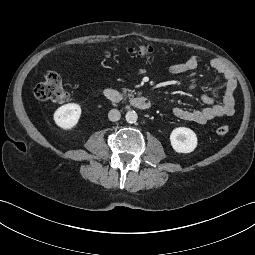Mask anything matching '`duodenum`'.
Returning a JSON list of instances; mask_svg holds the SVG:
<instances>
[{
  "label": "duodenum",
  "mask_w": 255,
  "mask_h": 255,
  "mask_svg": "<svg viewBox=\"0 0 255 255\" xmlns=\"http://www.w3.org/2000/svg\"><path fill=\"white\" fill-rule=\"evenodd\" d=\"M105 98L112 103H119L122 100V95L119 91L113 88L104 89ZM129 104L139 110H149L151 108L150 101L143 96H137L129 99Z\"/></svg>",
  "instance_id": "duodenum-1"
}]
</instances>
